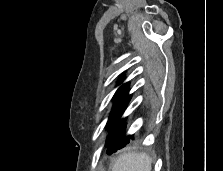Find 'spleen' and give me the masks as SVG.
<instances>
[{
  "label": "spleen",
  "instance_id": "1",
  "mask_svg": "<svg viewBox=\"0 0 223 171\" xmlns=\"http://www.w3.org/2000/svg\"><path fill=\"white\" fill-rule=\"evenodd\" d=\"M151 169L152 160L147 153H123L112 165V171H151Z\"/></svg>",
  "mask_w": 223,
  "mask_h": 171
}]
</instances>
